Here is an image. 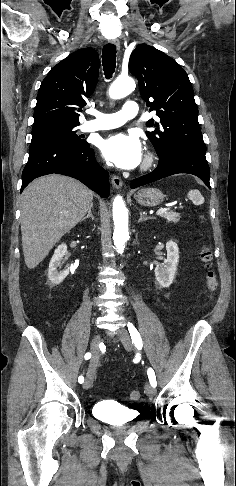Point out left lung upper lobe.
<instances>
[{"instance_id": "1", "label": "left lung upper lobe", "mask_w": 236, "mask_h": 486, "mask_svg": "<svg viewBox=\"0 0 236 486\" xmlns=\"http://www.w3.org/2000/svg\"><path fill=\"white\" fill-rule=\"evenodd\" d=\"M129 70L136 76L142 98L160 118L147 121L146 132L158 157L176 149L206 151L194 91L185 70L171 57L146 44L132 52ZM150 99V101H149Z\"/></svg>"}]
</instances>
